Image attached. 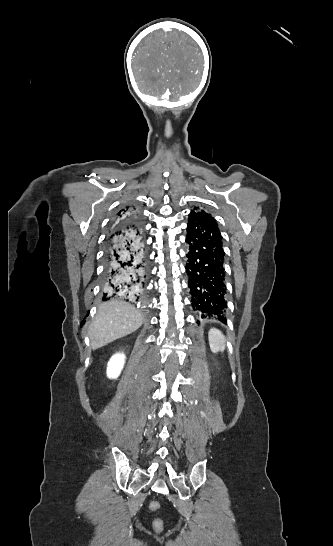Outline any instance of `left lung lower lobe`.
Listing matches in <instances>:
<instances>
[{"label":"left lung lower lobe","instance_id":"0a47b994","mask_svg":"<svg viewBox=\"0 0 333 546\" xmlns=\"http://www.w3.org/2000/svg\"><path fill=\"white\" fill-rule=\"evenodd\" d=\"M186 242L192 307L202 318L216 317L226 323L225 253L215 220L190 214Z\"/></svg>","mask_w":333,"mask_h":546}]
</instances>
